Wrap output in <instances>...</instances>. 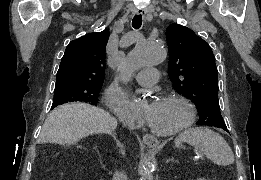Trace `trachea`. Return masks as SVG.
<instances>
[{"label": "trachea", "mask_w": 261, "mask_h": 180, "mask_svg": "<svg viewBox=\"0 0 261 180\" xmlns=\"http://www.w3.org/2000/svg\"><path fill=\"white\" fill-rule=\"evenodd\" d=\"M142 25V15H135L132 20V27L135 29L140 28Z\"/></svg>", "instance_id": "1"}]
</instances>
